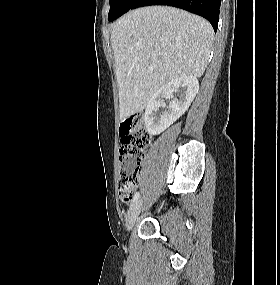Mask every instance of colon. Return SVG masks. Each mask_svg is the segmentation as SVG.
I'll return each instance as SVG.
<instances>
[{
    "label": "colon",
    "instance_id": "1",
    "mask_svg": "<svg viewBox=\"0 0 280 285\" xmlns=\"http://www.w3.org/2000/svg\"><path fill=\"white\" fill-rule=\"evenodd\" d=\"M149 144V134L143 114H134L120 124L118 192L124 202L134 197L139 182L140 164Z\"/></svg>",
    "mask_w": 280,
    "mask_h": 285
}]
</instances>
